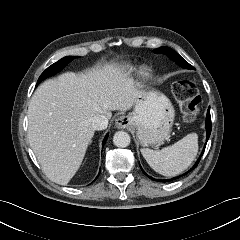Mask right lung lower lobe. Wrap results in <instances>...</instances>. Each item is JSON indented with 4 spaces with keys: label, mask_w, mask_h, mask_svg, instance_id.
Segmentation results:
<instances>
[{
    "label": "right lung lower lobe",
    "mask_w": 240,
    "mask_h": 240,
    "mask_svg": "<svg viewBox=\"0 0 240 240\" xmlns=\"http://www.w3.org/2000/svg\"><path fill=\"white\" fill-rule=\"evenodd\" d=\"M107 137H108V135H106V137H105V139H104V141H103V145L105 144V142H106V140H107Z\"/></svg>",
    "instance_id": "1"
}]
</instances>
